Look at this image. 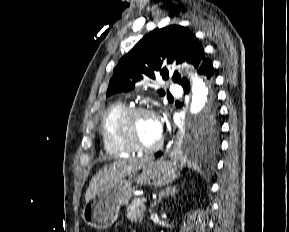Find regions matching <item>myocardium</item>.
Masks as SVG:
<instances>
[{"instance_id": "f54148a6", "label": "myocardium", "mask_w": 289, "mask_h": 232, "mask_svg": "<svg viewBox=\"0 0 289 232\" xmlns=\"http://www.w3.org/2000/svg\"><path fill=\"white\" fill-rule=\"evenodd\" d=\"M140 115H148L157 120L156 113L148 108L143 106H133L128 107L123 114L121 115L118 122V136L122 143L134 153L139 154H151L160 149L162 145V139L150 147H144L140 145L133 134V121L136 117Z\"/></svg>"}]
</instances>
